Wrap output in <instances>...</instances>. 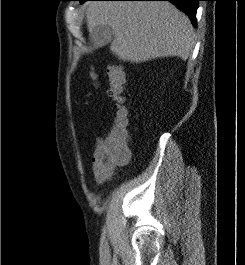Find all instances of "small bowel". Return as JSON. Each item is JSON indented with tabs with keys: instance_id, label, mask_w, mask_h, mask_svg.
<instances>
[{
	"instance_id": "c3829d8e",
	"label": "small bowel",
	"mask_w": 245,
	"mask_h": 265,
	"mask_svg": "<svg viewBox=\"0 0 245 265\" xmlns=\"http://www.w3.org/2000/svg\"><path fill=\"white\" fill-rule=\"evenodd\" d=\"M101 142H102L101 138L97 139L95 149L100 145ZM93 170H94V174H95L96 179L100 182H103L109 176V173H107L106 171H102V170L98 169L94 165V162H93Z\"/></svg>"
}]
</instances>
